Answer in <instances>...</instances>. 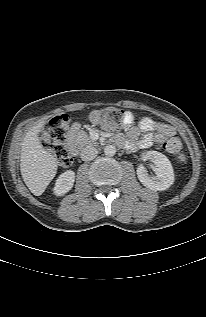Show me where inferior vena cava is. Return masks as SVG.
<instances>
[{
	"mask_svg": "<svg viewBox=\"0 0 206 317\" xmlns=\"http://www.w3.org/2000/svg\"><path fill=\"white\" fill-rule=\"evenodd\" d=\"M98 154V150L95 147L87 146L81 151V159L83 161L93 160Z\"/></svg>",
	"mask_w": 206,
	"mask_h": 317,
	"instance_id": "602c4592",
	"label": "inferior vena cava"
}]
</instances>
